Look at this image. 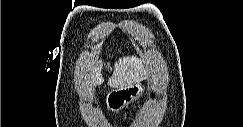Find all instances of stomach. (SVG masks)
Returning a JSON list of instances; mask_svg holds the SVG:
<instances>
[{"label": "stomach", "mask_w": 243, "mask_h": 127, "mask_svg": "<svg viewBox=\"0 0 243 127\" xmlns=\"http://www.w3.org/2000/svg\"><path fill=\"white\" fill-rule=\"evenodd\" d=\"M145 89L141 82L113 88L106 95V106L112 112H118L132 101L138 99Z\"/></svg>", "instance_id": "obj_1"}]
</instances>
